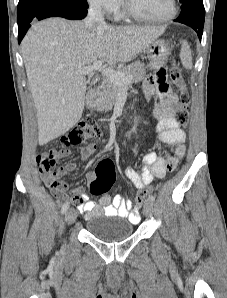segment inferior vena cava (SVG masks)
Segmentation results:
<instances>
[{
  "label": "inferior vena cava",
  "instance_id": "inferior-vena-cava-1",
  "mask_svg": "<svg viewBox=\"0 0 227 298\" xmlns=\"http://www.w3.org/2000/svg\"><path fill=\"white\" fill-rule=\"evenodd\" d=\"M86 27L91 28L93 26H106L104 21V14L102 12L101 5L98 3H92L88 9L87 17L84 20Z\"/></svg>",
  "mask_w": 227,
  "mask_h": 298
}]
</instances>
